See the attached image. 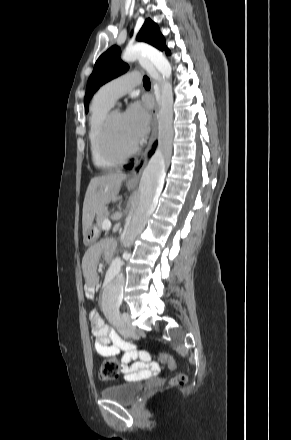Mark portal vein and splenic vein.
Instances as JSON below:
<instances>
[{
  "label": "portal vein and splenic vein",
  "mask_w": 291,
  "mask_h": 440,
  "mask_svg": "<svg viewBox=\"0 0 291 440\" xmlns=\"http://www.w3.org/2000/svg\"><path fill=\"white\" fill-rule=\"evenodd\" d=\"M111 228V221L106 218L102 223V229L103 230H109Z\"/></svg>",
  "instance_id": "18ae733b"
}]
</instances>
